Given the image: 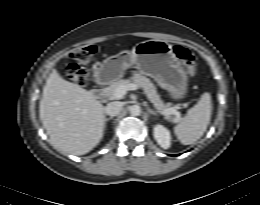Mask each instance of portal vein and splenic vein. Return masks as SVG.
<instances>
[{
  "label": "portal vein and splenic vein",
  "instance_id": "18ae733b",
  "mask_svg": "<svg viewBox=\"0 0 260 205\" xmlns=\"http://www.w3.org/2000/svg\"><path fill=\"white\" fill-rule=\"evenodd\" d=\"M139 89V85L131 83L125 86H120L115 90V98L116 99H122L123 96L126 94L127 91L129 90H137ZM162 115H176L177 119L180 118V113L176 111L175 109L171 108L165 111H158Z\"/></svg>",
  "mask_w": 260,
  "mask_h": 205
}]
</instances>
